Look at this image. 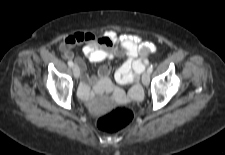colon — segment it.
<instances>
[{"label": "colon", "instance_id": "obj_1", "mask_svg": "<svg viewBox=\"0 0 225 155\" xmlns=\"http://www.w3.org/2000/svg\"><path fill=\"white\" fill-rule=\"evenodd\" d=\"M134 119V112L128 107H118L101 116L97 121L99 130L114 133L129 126Z\"/></svg>", "mask_w": 225, "mask_h": 155}]
</instances>
